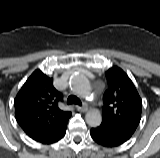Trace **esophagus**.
<instances>
[{
    "label": "esophagus",
    "mask_w": 160,
    "mask_h": 158,
    "mask_svg": "<svg viewBox=\"0 0 160 158\" xmlns=\"http://www.w3.org/2000/svg\"><path fill=\"white\" fill-rule=\"evenodd\" d=\"M77 110L79 112H86L88 110V107H87V104L86 103H83L82 106H76Z\"/></svg>",
    "instance_id": "34e87169"
}]
</instances>
